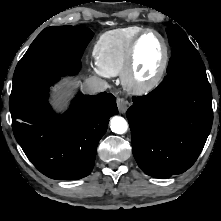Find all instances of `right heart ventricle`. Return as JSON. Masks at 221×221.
Instances as JSON below:
<instances>
[{"mask_svg": "<svg viewBox=\"0 0 221 221\" xmlns=\"http://www.w3.org/2000/svg\"><path fill=\"white\" fill-rule=\"evenodd\" d=\"M144 29L141 26H127L100 35L93 49L97 65L108 76L121 74L132 40Z\"/></svg>", "mask_w": 221, "mask_h": 221, "instance_id": "obj_1", "label": "right heart ventricle"}]
</instances>
